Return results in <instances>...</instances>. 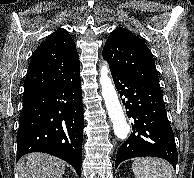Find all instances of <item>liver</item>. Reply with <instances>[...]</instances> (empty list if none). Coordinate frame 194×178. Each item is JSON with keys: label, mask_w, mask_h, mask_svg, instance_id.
Returning a JSON list of instances; mask_svg holds the SVG:
<instances>
[{"label": "liver", "mask_w": 194, "mask_h": 178, "mask_svg": "<svg viewBox=\"0 0 194 178\" xmlns=\"http://www.w3.org/2000/svg\"><path fill=\"white\" fill-rule=\"evenodd\" d=\"M65 163L44 153H30L18 162L19 178H62Z\"/></svg>", "instance_id": "1"}]
</instances>
